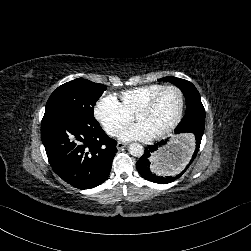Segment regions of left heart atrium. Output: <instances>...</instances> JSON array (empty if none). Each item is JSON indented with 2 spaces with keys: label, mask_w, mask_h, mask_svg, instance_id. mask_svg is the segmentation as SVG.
<instances>
[{
  "label": "left heart atrium",
  "mask_w": 251,
  "mask_h": 251,
  "mask_svg": "<svg viewBox=\"0 0 251 251\" xmlns=\"http://www.w3.org/2000/svg\"><path fill=\"white\" fill-rule=\"evenodd\" d=\"M118 135L123 140L147 141L155 138L157 132L148 121L141 120L123 127Z\"/></svg>",
  "instance_id": "1"
}]
</instances>
